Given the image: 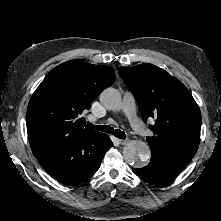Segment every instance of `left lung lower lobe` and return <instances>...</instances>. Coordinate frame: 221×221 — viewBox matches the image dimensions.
Returning <instances> with one entry per match:
<instances>
[{
    "label": "left lung lower lobe",
    "mask_w": 221,
    "mask_h": 221,
    "mask_svg": "<svg viewBox=\"0 0 221 221\" xmlns=\"http://www.w3.org/2000/svg\"><path fill=\"white\" fill-rule=\"evenodd\" d=\"M182 169L159 157L151 156V160L147 166L140 169H133V172L150 184L161 185L173 180Z\"/></svg>",
    "instance_id": "obj_1"
}]
</instances>
